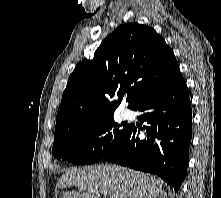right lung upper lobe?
Masks as SVG:
<instances>
[{"label":"right lung upper lobe","mask_w":221,"mask_h":198,"mask_svg":"<svg viewBox=\"0 0 221 198\" xmlns=\"http://www.w3.org/2000/svg\"><path fill=\"white\" fill-rule=\"evenodd\" d=\"M178 72L172 49L153 28L138 23L118 27L94 58L80 61L69 76L54 138L113 115L126 92L128 108L136 109ZM114 96L119 98L111 100Z\"/></svg>","instance_id":"1"}]
</instances>
